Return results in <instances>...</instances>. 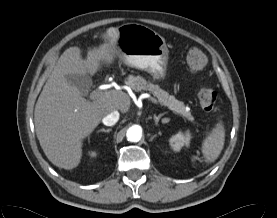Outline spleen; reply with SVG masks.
<instances>
[{
  "label": "spleen",
  "mask_w": 277,
  "mask_h": 218,
  "mask_svg": "<svg viewBox=\"0 0 277 218\" xmlns=\"http://www.w3.org/2000/svg\"><path fill=\"white\" fill-rule=\"evenodd\" d=\"M225 142V128L222 121H219L202 143V153L205 161L214 162L220 155Z\"/></svg>",
  "instance_id": "1"
}]
</instances>
